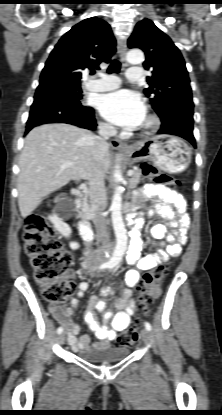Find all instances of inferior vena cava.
<instances>
[{
    "label": "inferior vena cava",
    "mask_w": 222,
    "mask_h": 415,
    "mask_svg": "<svg viewBox=\"0 0 222 415\" xmlns=\"http://www.w3.org/2000/svg\"><path fill=\"white\" fill-rule=\"evenodd\" d=\"M99 135L92 136L90 140L93 168L89 179L90 212L96 228V237L99 248L95 251L96 257H102L109 246L108 221L104 215L107 205L106 190L104 184V172L101 168L102 160L108 151L107 140L116 134V129L111 124L101 123L98 126Z\"/></svg>",
    "instance_id": "602c4592"
}]
</instances>
